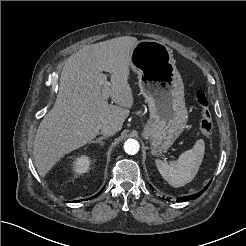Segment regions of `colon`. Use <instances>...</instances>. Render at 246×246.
Returning <instances> with one entry per match:
<instances>
[{
    "instance_id": "obj_1",
    "label": "colon",
    "mask_w": 246,
    "mask_h": 246,
    "mask_svg": "<svg viewBox=\"0 0 246 246\" xmlns=\"http://www.w3.org/2000/svg\"><path fill=\"white\" fill-rule=\"evenodd\" d=\"M193 97L196 102V104L200 108V115L198 117V126L200 129V132L204 136H210L213 129V122L212 117L208 109V101L207 97L203 90L196 89L193 92Z\"/></svg>"
}]
</instances>
